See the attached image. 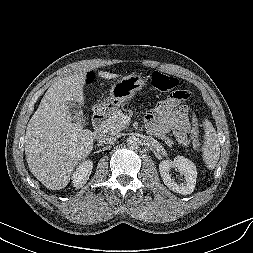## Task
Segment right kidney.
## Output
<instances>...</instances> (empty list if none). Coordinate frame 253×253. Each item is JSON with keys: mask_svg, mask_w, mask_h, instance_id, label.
<instances>
[{"mask_svg": "<svg viewBox=\"0 0 253 253\" xmlns=\"http://www.w3.org/2000/svg\"><path fill=\"white\" fill-rule=\"evenodd\" d=\"M93 168V163L90 160L82 162L73 173V185L76 188H81L85 185Z\"/></svg>", "mask_w": 253, "mask_h": 253, "instance_id": "1", "label": "right kidney"}]
</instances>
